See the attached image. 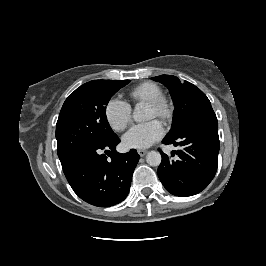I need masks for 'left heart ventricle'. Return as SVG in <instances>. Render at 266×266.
Here are the masks:
<instances>
[{
  "instance_id": "1",
  "label": "left heart ventricle",
  "mask_w": 266,
  "mask_h": 266,
  "mask_svg": "<svg viewBox=\"0 0 266 266\" xmlns=\"http://www.w3.org/2000/svg\"><path fill=\"white\" fill-rule=\"evenodd\" d=\"M155 117H157L156 109H154L151 106H148L146 118L147 119H152V118H155Z\"/></svg>"
}]
</instances>
